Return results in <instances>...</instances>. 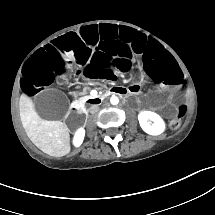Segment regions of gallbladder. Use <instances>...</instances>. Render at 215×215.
<instances>
[{
  "label": "gallbladder",
  "instance_id": "bac80fb5",
  "mask_svg": "<svg viewBox=\"0 0 215 215\" xmlns=\"http://www.w3.org/2000/svg\"><path fill=\"white\" fill-rule=\"evenodd\" d=\"M34 105L36 112L47 120H59L66 113V99L58 90L39 92Z\"/></svg>",
  "mask_w": 215,
  "mask_h": 215
}]
</instances>
